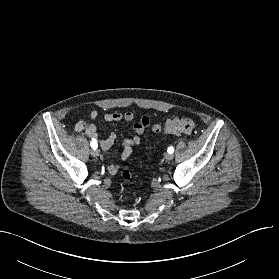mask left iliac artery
Instances as JSON below:
<instances>
[{"label":"left iliac artery","instance_id":"1","mask_svg":"<svg viewBox=\"0 0 279 279\" xmlns=\"http://www.w3.org/2000/svg\"><path fill=\"white\" fill-rule=\"evenodd\" d=\"M174 152V148L173 147H169L168 148V153H173Z\"/></svg>","mask_w":279,"mask_h":279}]
</instances>
